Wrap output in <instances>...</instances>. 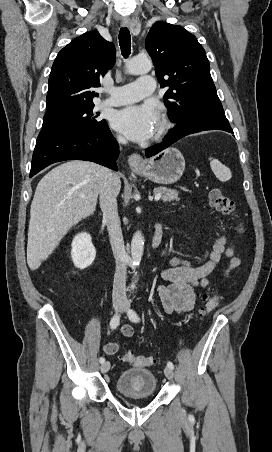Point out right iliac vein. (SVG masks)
Here are the masks:
<instances>
[{
  "instance_id": "1",
  "label": "right iliac vein",
  "mask_w": 272,
  "mask_h": 452,
  "mask_svg": "<svg viewBox=\"0 0 272 452\" xmlns=\"http://www.w3.org/2000/svg\"><path fill=\"white\" fill-rule=\"evenodd\" d=\"M123 303L121 301H114L113 302V308L115 311H118L122 308ZM101 372L102 373H107L110 369V362L109 361H105L104 363H102L101 367Z\"/></svg>"
}]
</instances>
